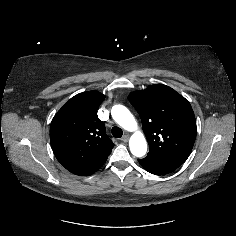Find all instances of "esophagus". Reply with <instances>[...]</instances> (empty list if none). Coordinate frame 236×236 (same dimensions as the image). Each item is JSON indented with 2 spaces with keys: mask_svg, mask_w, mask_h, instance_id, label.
<instances>
[{
  "mask_svg": "<svg viewBox=\"0 0 236 236\" xmlns=\"http://www.w3.org/2000/svg\"><path fill=\"white\" fill-rule=\"evenodd\" d=\"M129 140V135L128 134H125L122 138H121V141L123 142H127Z\"/></svg>",
  "mask_w": 236,
  "mask_h": 236,
  "instance_id": "esophagus-1",
  "label": "esophagus"
}]
</instances>
